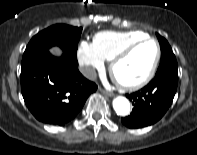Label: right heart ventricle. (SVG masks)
Here are the masks:
<instances>
[{
  "label": "right heart ventricle",
  "instance_id": "obj_1",
  "mask_svg": "<svg viewBox=\"0 0 197 155\" xmlns=\"http://www.w3.org/2000/svg\"><path fill=\"white\" fill-rule=\"evenodd\" d=\"M147 37L142 31H102L93 38V44L104 60L112 58L125 46Z\"/></svg>",
  "mask_w": 197,
  "mask_h": 155
}]
</instances>
